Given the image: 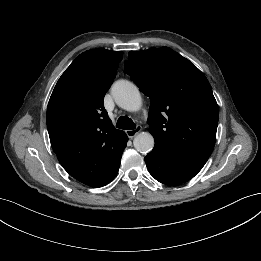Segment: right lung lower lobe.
<instances>
[{
  "label": "right lung lower lobe",
  "instance_id": "obj_1",
  "mask_svg": "<svg viewBox=\"0 0 261 261\" xmlns=\"http://www.w3.org/2000/svg\"><path fill=\"white\" fill-rule=\"evenodd\" d=\"M120 160L121 158L119 159V161L117 162L116 166L113 168V170L104 178L102 179L101 181L95 183L94 185H92V187H102L106 184H108L109 182H111L114 177L116 176L118 170H119V166H120Z\"/></svg>",
  "mask_w": 261,
  "mask_h": 261
}]
</instances>
